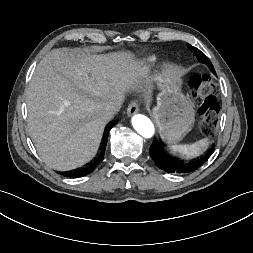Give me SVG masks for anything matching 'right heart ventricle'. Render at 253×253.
Instances as JSON below:
<instances>
[{
	"instance_id": "1",
	"label": "right heart ventricle",
	"mask_w": 253,
	"mask_h": 253,
	"mask_svg": "<svg viewBox=\"0 0 253 253\" xmlns=\"http://www.w3.org/2000/svg\"><path fill=\"white\" fill-rule=\"evenodd\" d=\"M150 65H145V68H148Z\"/></svg>"
}]
</instances>
